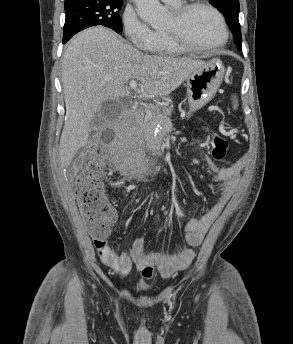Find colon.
<instances>
[{
  "label": "colon",
  "mask_w": 293,
  "mask_h": 344,
  "mask_svg": "<svg viewBox=\"0 0 293 344\" xmlns=\"http://www.w3.org/2000/svg\"><path fill=\"white\" fill-rule=\"evenodd\" d=\"M112 132L104 134L105 140L112 139ZM212 156L215 160H222L226 154L228 143L216 132L210 135ZM105 169L98 159H91L76 179V195L80 211L85 219L89 234L95 239H103L110 227L117 221V211L111 206L104 195L103 180ZM144 279H151L153 268L142 269Z\"/></svg>",
  "instance_id": "1"
}]
</instances>
